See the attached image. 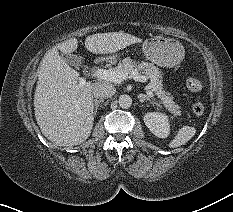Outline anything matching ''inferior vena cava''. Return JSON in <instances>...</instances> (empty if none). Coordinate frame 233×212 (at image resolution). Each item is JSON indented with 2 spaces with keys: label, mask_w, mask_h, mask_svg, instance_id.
Returning a JSON list of instances; mask_svg holds the SVG:
<instances>
[{
  "label": "inferior vena cava",
  "mask_w": 233,
  "mask_h": 212,
  "mask_svg": "<svg viewBox=\"0 0 233 212\" xmlns=\"http://www.w3.org/2000/svg\"><path fill=\"white\" fill-rule=\"evenodd\" d=\"M92 94L99 99L109 98L115 94V88L106 83L96 82L92 84Z\"/></svg>",
  "instance_id": "inferior-vena-cava-1"
}]
</instances>
